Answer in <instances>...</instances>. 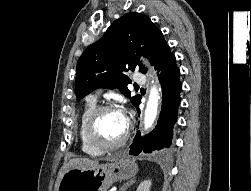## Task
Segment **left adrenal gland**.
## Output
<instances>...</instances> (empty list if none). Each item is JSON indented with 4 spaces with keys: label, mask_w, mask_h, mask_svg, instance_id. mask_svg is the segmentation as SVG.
<instances>
[{
    "label": "left adrenal gland",
    "mask_w": 251,
    "mask_h": 191,
    "mask_svg": "<svg viewBox=\"0 0 251 191\" xmlns=\"http://www.w3.org/2000/svg\"><path fill=\"white\" fill-rule=\"evenodd\" d=\"M135 181H137V179H130V181H127V183H124V185H122V187H120L119 191H126V189H128L129 185H132V183H135Z\"/></svg>",
    "instance_id": "left-adrenal-gland-1"
}]
</instances>
